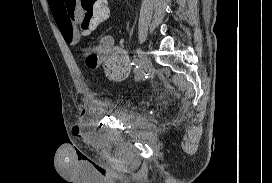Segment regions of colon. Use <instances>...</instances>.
<instances>
[{"label": "colon", "instance_id": "5ec220e1", "mask_svg": "<svg viewBox=\"0 0 272 183\" xmlns=\"http://www.w3.org/2000/svg\"><path fill=\"white\" fill-rule=\"evenodd\" d=\"M67 21L78 26L83 33L92 32L99 24L104 22L109 15L107 0H67ZM76 13L78 17L76 19ZM87 65L95 68L101 62L100 54L89 52Z\"/></svg>", "mask_w": 272, "mask_h": 183}]
</instances>
